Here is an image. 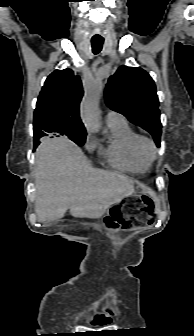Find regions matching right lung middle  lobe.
<instances>
[{"label":"right lung middle lobe","mask_w":194,"mask_h":336,"mask_svg":"<svg viewBox=\"0 0 194 336\" xmlns=\"http://www.w3.org/2000/svg\"><path fill=\"white\" fill-rule=\"evenodd\" d=\"M67 136L79 146H82L86 140L85 133H75V134H69Z\"/></svg>","instance_id":"dd1d6c3e"}]
</instances>
